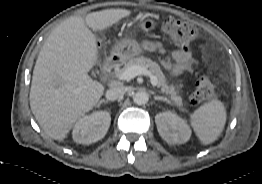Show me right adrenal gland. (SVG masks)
Masks as SVG:
<instances>
[{
    "label": "right adrenal gland",
    "instance_id": "right-adrenal-gland-1",
    "mask_svg": "<svg viewBox=\"0 0 262 184\" xmlns=\"http://www.w3.org/2000/svg\"><path fill=\"white\" fill-rule=\"evenodd\" d=\"M102 103L108 104V101L104 99L100 100L99 103L97 104V107H99Z\"/></svg>",
    "mask_w": 262,
    "mask_h": 184
}]
</instances>
